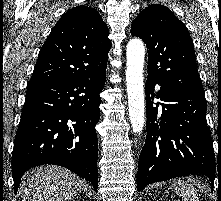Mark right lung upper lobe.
Returning a JSON list of instances; mask_svg holds the SVG:
<instances>
[{
  "instance_id": "right-lung-upper-lobe-1",
  "label": "right lung upper lobe",
  "mask_w": 221,
  "mask_h": 201,
  "mask_svg": "<svg viewBox=\"0 0 221 201\" xmlns=\"http://www.w3.org/2000/svg\"><path fill=\"white\" fill-rule=\"evenodd\" d=\"M100 14L88 6L67 11L42 46L29 82H60L106 71L111 41Z\"/></svg>"
}]
</instances>
